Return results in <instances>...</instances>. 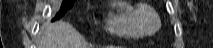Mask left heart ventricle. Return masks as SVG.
<instances>
[{"mask_svg":"<svg viewBox=\"0 0 213 48\" xmlns=\"http://www.w3.org/2000/svg\"><path fill=\"white\" fill-rule=\"evenodd\" d=\"M145 20H146L147 28L149 30H152L156 25L155 20L151 16H146Z\"/></svg>","mask_w":213,"mask_h":48,"instance_id":"b2bd125f","label":"left heart ventricle"}]
</instances>
